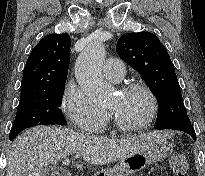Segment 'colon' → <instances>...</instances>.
I'll return each instance as SVG.
<instances>
[{"mask_svg":"<svg viewBox=\"0 0 205 176\" xmlns=\"http://www.w3.org/2000/svg\"><path fill=\"white\" fill-rule=\"evenodd\" d=\"M169 167L176 176H188V163L182 153H173L169 160Z\"/></svg>","mask_w":205,"mask_h":176,"instance_id":"1","label":"colon"}]
</instances>
